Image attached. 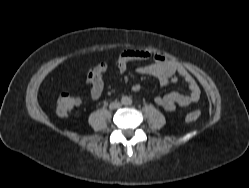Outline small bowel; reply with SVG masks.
<instances>
[{
  "label": "small bowel",
  "mask_w": 249,
  "mask_h": 188,
  "mask_svg": "<svg viewBox=\"0 0 249 188\" xmlns=\"http://www.w3.org/2000/svg\"><path fill=\"white\" fill-rule=\"evenodd\" d=\"M132 61L148 62L137 68V72L142 75L156 78L160 85L168 86L182 79L188 88V93L182 94L171 92L163 96L155 97V103L166 111H174L177 107H186L195 103L200 98V88L195 78L181 64L169 60L164 56L151 53L146 50H125L117 59L116 65L120 72H125ZM108 70V65L101 62L88 71L87 86L92 100H98L104 91V75ZM135 85L133 90L136 91Z\"/></svg>",
  "instance_id": "1"
}]
</instances>
